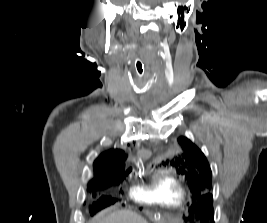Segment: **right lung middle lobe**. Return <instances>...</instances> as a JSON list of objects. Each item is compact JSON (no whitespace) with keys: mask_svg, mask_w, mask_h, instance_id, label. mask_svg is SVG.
Here are the masks:
<instances>
[{"mask_svg":"<svg viewBox=\"0 0 267 223\" xmlns=\"http://www.w3.org/2000/svg\"><path fill=\"white\" fill-rule=\"evenodd\" d=\"M126 175H122V174H113L110 175L104 179L101 180L100 184H98L99 186H110L113 185L117 182H120L123 178H125ZM93 184H95V182H92ZM97 185V184H96ZM116 200L109 198V197H101L96 204H94V208H103L105 206H108L110 204L115 203Z\"/></svg>","mask_w":267,"mask_h":223,"instance_id":"dd1d6c3e","label":"right lung middle lobe"}]
</instances>
